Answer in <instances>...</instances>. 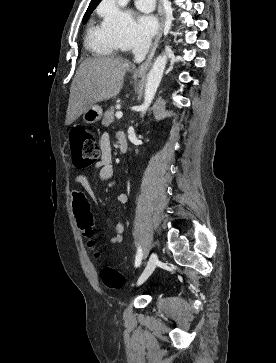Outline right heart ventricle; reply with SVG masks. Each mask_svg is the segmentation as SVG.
Segmentation results:
<instances>
[{
  "label": "right heart ventricle",
  "instance_id": "e07e8e85",
  "mask_svg": "<svg viewBox=\"0 0 276 363\" xmlns=\"http://www.w3.org/2000/svg\"><path fill=\"white\" fill-rule=\"evenodd\" d=\"M87 48L96 55L110 56L119 49L117 42L110 36L103 24L92 22L87 31Z\"/></svg>",
  "mask_w": 276,
  "mask_h": 363
}]
</instances>
